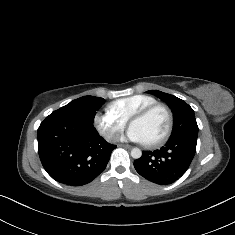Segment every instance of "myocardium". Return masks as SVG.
<instances>
[{"label": "myocardium", "mask_w": 235, "mask_h": 235, "mask_svg": "<svg viewBox=\"0 0 235 235\" xmlns=\"http://www.w3.org/2000/svg\"><path fill=\"white\" fill-rule=\"evenodd\" d=\"M156 110H162L165 112L168 118V126H167L165 133L161 137L157 138L156 140L150 143H144V146L146 148H155L165 143L170 138L173 132V128H174V116H173L172 111L166 105L156 103L137 112L135 115L132 116L131 121H130V124H132L133 121L146 118L147 116H149L151 113H153Z\"/></svg>", "instance_id": "f54148a6"}]
</instances>
